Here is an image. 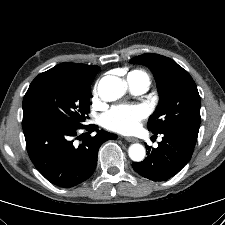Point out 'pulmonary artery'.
Wrapping results in <instances>:
<instances>
[{
  "label": "pulmonary artery",
  "instance_id": "pulmonary-artery-1",
  "mask_svg": "<svg viewBox=\"0 0 225 225\" xmlns=\"http://www.w3.org/2000/svg\"><path fill=\"white\" fill-rule=\"evenodd\" d=\"M127 82L131 92H133L134 94H143L149 88V81L136 75L128 76Z\"/></svg>",
  "mask_w": 225,
  "mask_h": 225
}]
</instances>
